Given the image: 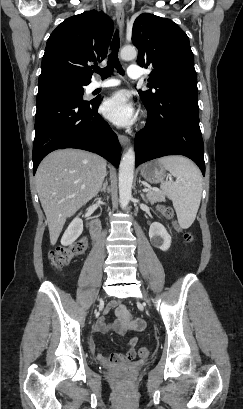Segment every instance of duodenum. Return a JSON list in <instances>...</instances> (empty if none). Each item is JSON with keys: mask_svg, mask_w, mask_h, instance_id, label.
<instances>
[{"mask_svg": "<svg viewBox=\"0 0 243 409\" xmlns=\"http://www.w3.org/2000/svg\"><path fill=\"white\" fill-rule=\"evenodd\" d=\"M90 231L93 239H96L100 233V221L94 218L90 223Z\"/></svg>", "mask_w": 243, "mask_h": 409, "instance_id": "410a0bca", "label": "duodenum"}]
</instances>
